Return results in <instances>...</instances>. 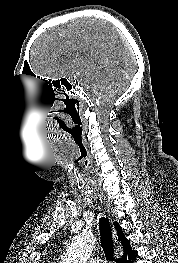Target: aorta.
I'll return each mask as SVG.
<instances>
[{"mask_svg":"<svg viewBox=\"0 0 178 263\" xmlns=\"http://www.w3.org/2000/svg\"><path fill=\"white\" fill-rule=\"evenodd\" d=\"M95 245V239L91 232L83 231L76 235L62 263H86Z\"/></svg>","mask_w":178,"mask_h":263,"instance_id":"762f6f07","label":"aorta"}]
</instances>
